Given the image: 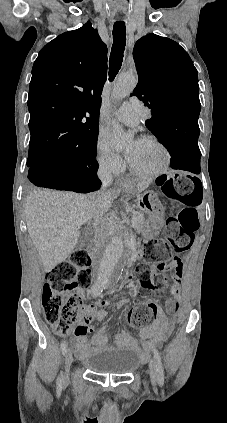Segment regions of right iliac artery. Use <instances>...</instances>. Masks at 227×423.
Instances as JSON below:
<instances>
[{
	"label": "right iliac artery",
	"instance_id": "right-iliac-artery-1",
	"mask_svg": "<svg viewBox=\"0 0 227 423\" xmlns=\"http://www.w3.org/2000/svg\"><path fill=\"white\" fill-rule=\"evenodd\" d=\"M103 287H104V285L102 284V285H95V286H93V288H92V290H93V294L96 296V295H99L101 292H102V290H103ZM61 351H62V354L63 355H65L66 354V352H67V341L66 340H64L62 343H61ZM56 385H57V389H62V378H61V376H59L58 378H57V382H56Z\"/></svg>",
	"mask_w": 227,
	"mask_h": 423
}]
</instances>
